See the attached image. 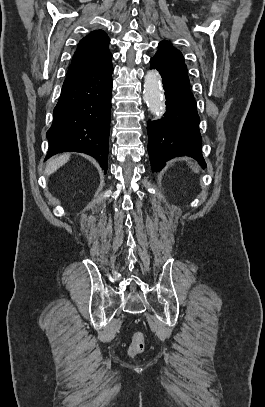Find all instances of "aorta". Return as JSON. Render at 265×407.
I'll return each mask as SVG.
<instances>
[{"instance_id":"1","label":"aorta","mask_w":265,"mask_h":407,"mask_svg":"<svg viewBox=\"0 0 265 407\" xmlns=\"http://www.w3.org/2000/svg\"><path fill=\"white\" fill-rule=\"evenodd\" d=\"M143 100L153 115L160 116L163 113L165 106L161 76L156 70L148 71L145 76Z\"/></svg>"}]
</instances>
